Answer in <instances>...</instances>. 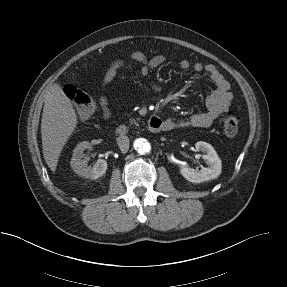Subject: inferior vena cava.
Instances as JSON below:
<instances>
[{"mask_svg":"<svg viewBox=\"0 0 287 287\" xmlns=\"http://www.w3.org/2000/svg\"><path fill=\"white\" fill-rule=\"evenodd\" d=\"M117 144L118 147L120 148L122 153H126L129 150V146H130V141L128 136L126 135H120L117 138Z\"/></svg>","mask_w":287,"mask_h":287,"instance_id":"602c4592","label":"inferior vena cava"}]
</instances>
